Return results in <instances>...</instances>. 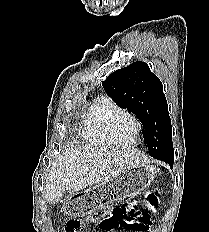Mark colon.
Segmentation results:
<instances>
[{"mask_svg": "<svg viewBox=\"0 0 209 232\" xmlns=\"http://www.w3.org/2000/svg\"><path fill=\"white\" fill-rule=\"evenodd\" d=\"M129 203L116 206L107 211H95L94 214H87L93 221L97 222L100 228L113 229H137L145 226H152L149 216L137 208H128ZM145 205L149 212L155 213L159 205V193L157 190H150L145 197ZM70 215V214H69ZM82 224L78 220H70L66 224L67 232H78Z\"/></svg>", "mask_w": 209, "mask_h": 232, "instance_id": "colon-1", "label": "colon"}]
</instances>
